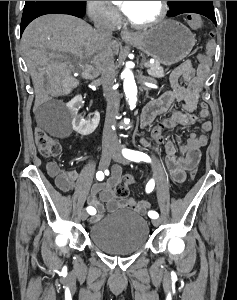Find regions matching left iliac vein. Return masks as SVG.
<instances>
[{
	"label": "left iliac vein",
	"mask_w": 237,
	"mask_h": 300,
	"mask_svg": "<svg viewBox=\"0 0 237 300\" xmlns=\"http://www.w3.org/2000/svg\"><path fill=\"white\" fill-rule=\"evenodd\" d=\"M118 147H121L120 145ZM111 158L118 162L121 163L123 165L128 164V161L125 159V157L118 151V148H114L113 154L111 156ZM160 224V221L158 219L153 220V225L154 226H158Z\"/></svg>",
	"instance_id": "left-iliac-vein-1"
}]
</instances>
